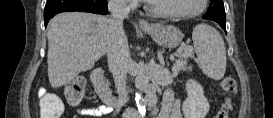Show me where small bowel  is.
Instances as JSON below:
<instances>
[{"instance_id":"c3829d8e","label":"small bowel","mask_w":273,"mask_h":118,"mask_svg":"<svg viewBox=\"0 0 273 118\" xmlns=\"http://www.w3.org/2000/svg\"><path fill=\"white\" fill-rule=\"evenodd\" d=\"M111 112L110 107L97 106L91 108L80 109L79 113L87 117H100ZM154 115L157 118H182L180 109V101L175 98L174 92L171 88H166L160 109L154 108Z\"/></svg>"}]
</instances>
